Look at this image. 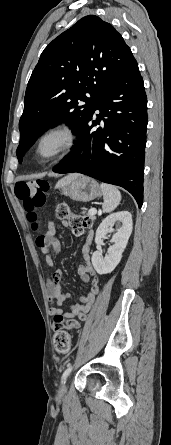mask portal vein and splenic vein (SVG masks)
Wrapping results in <instances>:
<instances>
[{"instance_id":"1","label":"portal vein and splenic vein","mask_w":171,"mask_h":445,"mask_svg":"<svg viewBox=\"0 0 171 445\" xmlns=\"http://www.w3.org/2000/svg\"><path fill=\"white\" fill-rule=\"evenodd\" d=\"M89 213L92 214V215H95L97 213V210L95 208H91L89 210Z\"/></svg>"}]
</instances>
